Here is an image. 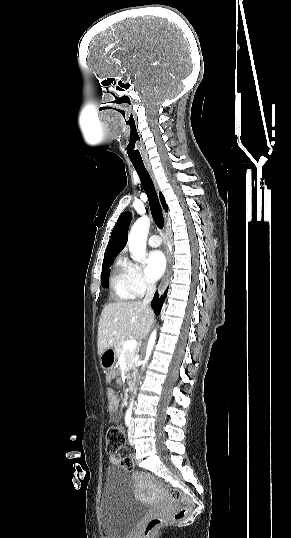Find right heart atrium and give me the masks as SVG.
<instances>
[{
  "mask_svg": "<svg viewBox=\"0 0 291 538\" xmlns=\"http://www.w3.org/2000/svg\"><path fill=\"white\" fill-rule=\"evenodd\" d=\"M130 283L137 296H142L153 288V283L147 278L141 267L137 264L126 263Z\"/></svg>",
  "mask_w": 291,
  "mask_h": 538,
  "instance_id": "obj_1",
  "label": "right heart atrium"
}]
</instances>
